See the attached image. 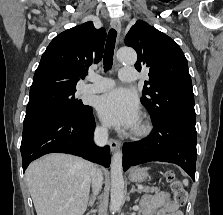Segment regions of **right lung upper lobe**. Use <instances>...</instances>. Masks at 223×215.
Instances as JSON below:
<instances>
[{"instance_id": "1", "label": "right lung upper lobe", "mask_w": 223, "mask_h": 215, "mask_svg": "<svg viewBox=\"0 0 223 215\" xmlns=\"http://www.w3.org/2000/svg\"><path fill=\"white\" fill-rule=\"evenodd\" d=\"M105 38L106 31L96 29L92 21L57 35L41 57L30 92L76 90L88 67L101 60Z\"/></svg>"}]
</instances>
